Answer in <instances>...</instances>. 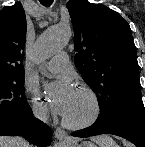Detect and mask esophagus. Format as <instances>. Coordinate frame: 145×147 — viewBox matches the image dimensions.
Here are the masks:
<instances>
[{
    "mask_svg": "<svg viewBox=\"0 0 145 147\" xmlns=\"http://www.w3.org/2000/svg\"><path fill=\"white\" fill-rule=\"evenodd\" d=\"M54 134H55V137L61 142L70 141V138L68 137L67 133L61 128H57Z\"/></svg>",
    "mask_w": 145,
    "mask_h": 147,
    "instance_id": "esophagus-1",
    "label": "esophagus"
}]
</instances>
